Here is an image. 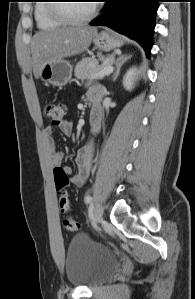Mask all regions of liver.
I'll return each instance as SVG.
<instances>
[{"mask_svg": "<svg viewBox=\"0 0 195 299\" xmlns=\"http://www.w3.org/2000/svg\"><path fill=\"white\" fill-rule=\"evenodd\" d=\"M97 35V28L69 26L37 32L31 41L33 73L36 79L46 63L81 54Z\"/></svg>", "mask_w": 195, "mask_h": 299, "instance_id": "obj_1", "label": "liver"}]
</instances>
